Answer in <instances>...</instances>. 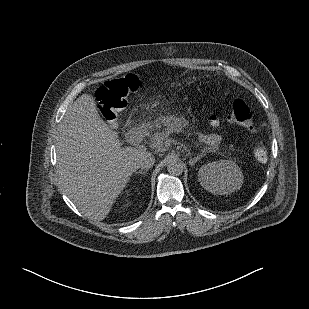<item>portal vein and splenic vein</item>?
<instances>
[{
  "mask_svg": "<svg viewBox=\"0 0 309 309\" xmlns=\"http://www.w3.org/2000/svg\"><path fill=\"white\" fill-rule=\"evenodd\" d=\"M162 141L160 140H156V141H153L152 143H150V147L151 148H157V147H160L162 145Z\"/></svg>",
  "mask_w": 309,
  "mask_h": 309,
  "instance_id": "18ae733b",
  "label": "portal vein and splenic vein"
}]
</instances>
